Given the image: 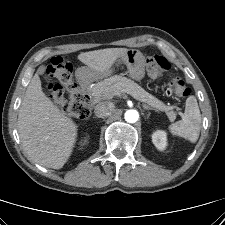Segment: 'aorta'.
<instances>
[{"instance_id":"762f6f07","label":"aorta","mask_w":225,"mask_h":225,"mask_svg":"<svg viewBox=\"0 0 225 225\" xmlns=\"http://www.w3.org/2000/svg\"><path fill=\"white\" fill-rule=\"evenodd\" d=\"M124 118L128 123H135L139 119V113L135 109H129L125 112Z\"/></svg>"}]
</instances>
